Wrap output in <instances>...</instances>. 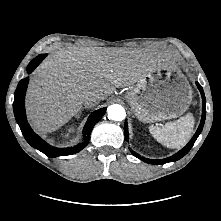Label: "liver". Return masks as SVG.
<instances>
[{"label": "liver", "mask_w": 221, "mask_h": 221, "mask_svg": "<svg viewBox=\"0 0 221 221\" xmlns=\"http://www.w3.org/2000/svg\"><path fill=\"white\" fill-rule=\"evenodd\" d=\"M157 52L127 48L68 47L54 52L36 70L27 94V113L36 131L52 132L77 115L83 96L105 100L164 66Z\"/></svg>", "instance_id": "liver-1"}]
</instances>
